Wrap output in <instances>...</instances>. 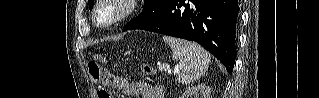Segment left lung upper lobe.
I'll return each instance as SVG.
<instances>
[{"mask_svg": "<svg viewBox=\"0 0 319 98\" xmlns=\"http://www.w3.org/2000/svg\"><path fill=\"white\" fill-rule=\"evenodd\" d=\"M88 2L89 8L92 9L94 0H88ZM144 2L145 5L142 13L127 23L124 27L138 29L146 24L151 23L161 14L164 0H144Z\"/></svg>", "mask_w": 319, "mask_h": 98, "instance_id": "1", "label": "left lung upper lobe"}]
</instances>
